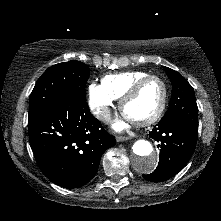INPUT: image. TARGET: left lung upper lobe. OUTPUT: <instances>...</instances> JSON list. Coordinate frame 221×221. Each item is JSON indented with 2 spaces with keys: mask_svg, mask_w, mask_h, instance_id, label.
<instances>
[{
  "mask_svg": "<svg viewBox=\"0 0 221 221\" xmlns=\"http://www.w3.org/2000/svg\"><path fill=\"white\" fill-rule=\"evenodd\" d=\"M164 69L172 82V97L169 109L161 120L180 119L198 129V107L193 87L175 70Z\"/></svg>",
  "mask_w": 221,
  "mask_h": 221,
  "instance_id": "1",
  "label": "left lung upper lobe"
}]
</instances>
